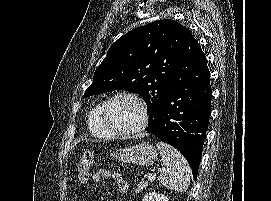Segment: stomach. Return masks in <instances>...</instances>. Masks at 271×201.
Masks as SVG:
<instances>
[{
	"label": "stomach",
	"instance_id": "0dacf381",
	"mask_svg": "<svg viewBox=\"0 0 271 201\" xmlns=\"http://www.w3.org/2000/svg\"><path fill=\"white\" fill-rule=\"evenodd\" d=\"M115 160L140 166H150L157 159V151L149 142L120 148L110 153Z\"/></svg>",
	"mask_w": 271,
	"mask_h": 201
}]
</instances>
